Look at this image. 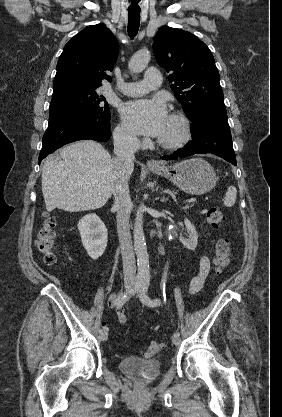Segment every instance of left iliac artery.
<instances>
[{
    "mask_svg": "<svg viewBox=\"0 0 282 417\" xmlns=\"http://www.w3.org/2000/svg\"><path fill=\"white\" fill-rule=\"evenodd\" d=\"M149 283H150L149 278H145L143 280L141 289L139 290V298H140L141 302L144 303L145 305L150 306V307H155V306L160 305V300L159 299L152 300L147 296V290H148V287H149ZM174 335L180 336V333L175 332Z\"/></svg>",
    "mask_w": 282,
    "mask_h": 417,
    "instance_id": "44dca946",
    "label": "left iliac artery"
}]
</instances>
